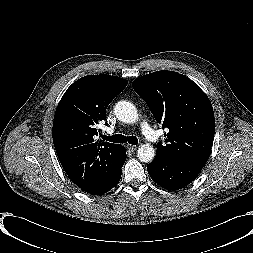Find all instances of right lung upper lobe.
Returning <instances> with one entry per match:
<instances>
[{
    "label": "right lung upper lobe",
    "mask_w": 253,
    "mask_h": 253,
    "mask_svg": "<svg viewBox=\"0 0 253 253\" xmlns=\"http://www.w3.org/2000/svg\"><path fill=\"white\" fill-rule=\"evenodd\" d=\"M127 85L116 76L88 75L64 93L53 122V143L68 177L91 192L118 168L122 145L97 141V125L106 120V108ZM107 125V123H106Z\"/></svg>",
    "instance_id": "right-lung-upper-lobe-1"
}]
</instances>
